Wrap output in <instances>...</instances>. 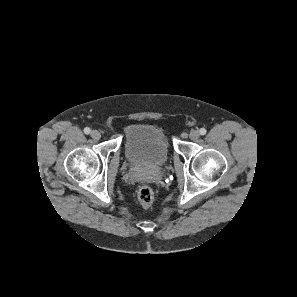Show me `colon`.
Segmentation results:
<instances>
[{"instance_id":"colon-1","label":"colon","mask_w":297,"mask_h":297,"mask_svg":"<svg viewBox=\"0 0 297 297\" xmlns=\"http://www.w3.org/2000/svg\"><path fill=\"white\" fill-rule=\"evenodd\" d=\"M138 201L144 209L151 207L154 201V193L149 186L144 185L140 187L138 191Z\"/></svg>"}]
</instances>
